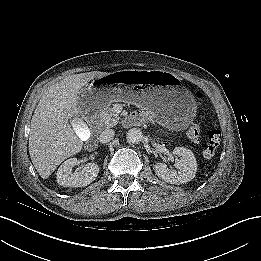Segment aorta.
<instances>
[{"instance_id": "1", "label": "aorta", "mask_w": 261, "mask_h": 261, "mask_svg": "<svg viewBox=\"0 0 261 261\" xmlns=\"http://www.w3.org/2000/svg\"><path fill=\"white\" fill-rule=\"evenodd\" d=\"M143 138L142 132L138 128H132L128 130L126 134L127 142L130 144H137L139 143Z\"/></svg>"}]
</instances>
